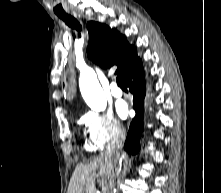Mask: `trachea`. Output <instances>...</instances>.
<instances>
[{
	"label": "trachea",
	"instance_id": "3493384b",
	"mask_svg": "<svg viewBox=\"0 0 221 193\" xmlns=\"http://www.w3.org/2000/svg\"><path fill=\"white\" fill-rule=\"evenodd\" d=\"M59 18H61L69 27L76 29L78 32L81 31V26L79 22L73 16L65 14L59 15ZM116 82L121 88H126L124 82L119 75L116 78Z\"/></svg>",
	"mask_w": 221,
	"mask_h": 193
}]
</instances>
